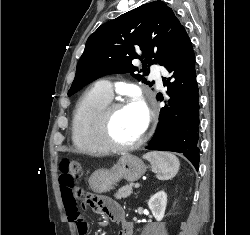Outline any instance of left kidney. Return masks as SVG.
I'll return each mask as SVG.
<instances>
[{
	"label": "left kidney",
	"instance_id": "left-kidney-1",
	"mask_svg": "<svg viewBox=\"0 0 250 235\" xmlns=\"http://www.w3.org/2000/svg\"><path fill=\"white\" fill-rule=\"evenodd\" d=\"M166 205L167 194L164 191L157 192L149 199L148 206L156 221H161L164 218Z\"/></svg>",
	"mask_w": 250,
	"mask_h": 235
}]
</instances>
